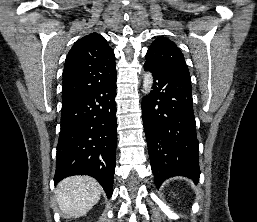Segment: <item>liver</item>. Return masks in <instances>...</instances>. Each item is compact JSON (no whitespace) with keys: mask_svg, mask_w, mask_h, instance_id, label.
<instances>
[{"mask_svg":"<svg viewBox=\"0 0 257 222\" xmlns=\"http://www.w3.org/2000/svg\"><path fill=\"white\" fill-rule=\"evenodd\" d=\"M101 197V187L89 176H72L57 187V203L68 217L85 215Z\"/></svg>","mask_w":257,"mask_h":222,"instance_id":"1","label":"liver"}]
</instances>
